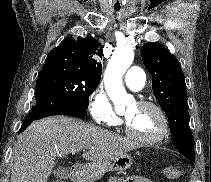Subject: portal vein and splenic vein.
<instances>
[{
  "label": "portal vein and splenic vein",
  "mask_w": 211,
  "mask_h": 182,
  "mask_svg": "<svg viewBox=\"0 0 211 182\" xmlns=\"http://www.w3.org/2000/svg\"><path fill=\"white\" fill-rule=\"evenodd\" d=\"M86 149H92V148L87 147Z\"/></svg>",
  "instance_id": "18ae733b"
}]
</instances>
